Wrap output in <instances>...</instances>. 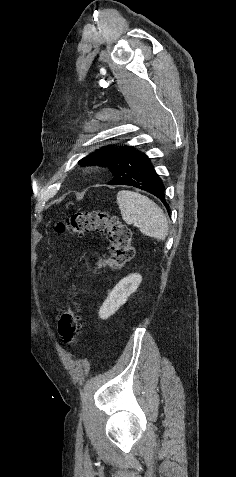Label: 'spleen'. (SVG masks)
Listing matches in <instances>:
<instances>
[{
    "mask_svg": "<svg viewBox=\"0 0 236 477\" xmlns=\"http://www.w3.org/2000/svg\"><path fill=\"white\" fill-rule=\"evenodd\" d=\"M117 204L123 220L136 224L143 234L158 240H164L168 235V221L163 210L147 196L121 190L117 194Z\"/></svg>",
    "mask_w": 236,
    "mask_h": 477,
    "instance_id": "1",
    "label": "spleen"
}]
</instances>
